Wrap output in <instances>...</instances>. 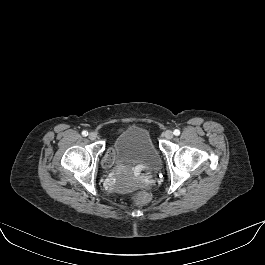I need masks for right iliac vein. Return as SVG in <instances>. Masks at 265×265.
Listing matches in <instances>:
<instances>
[{
  "label": "right iliac vein",
  "instance_id": "right-iliac-vein-1",
  "mask_svg": "<svg viewBox=\"0 0 265 265\" xmlns=\"http://www.w3.org/2000/svg\"><path fill=\"white\" fill-rule=\"evenodd\" d=\"M88 138L93 141L97 138V134L95 132H90Z\"/></svg>",
  "mask_w": 265,
  "mask_h": 265
}]
</instances>
